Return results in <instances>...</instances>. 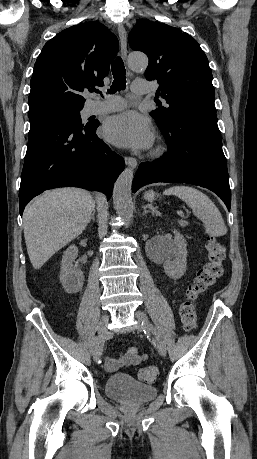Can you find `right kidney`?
<instances>
[{
	"mask_svg": "<svg viewBox=\"0 0 257 459\" xmlns=\"http://www.w3.org/2000/svg\"><path fill=\"white\" fill-rule=\"evenodd\" d=\"M78 255V248L71 245L64 252L61 262L60 282L64 290L69 294H75L82 289L84 275L82 271L73 266Z\"/></svg>",
	"mask_w": 257,
	"mask_h": 459,
	"instance_id": "right-kidney-1",
	"label": "right kidney"
}]
</instances>
